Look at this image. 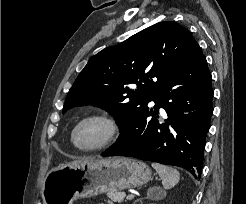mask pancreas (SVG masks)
Returning a JSON list of instances; mask_svg holds the SVG:
<instances>
[{
  "label": "pancreas",
  "instance_id": "pancreas-1",
  "mask_svg": "<svg viewBox=\"0 0 246 204\" xmlns=\"http://www.w3.org/2000/svg\"><path fill=\"white\" fill-rule=\"evenodd\" d=\"M107 197L114 202L121 203L124 200L125 193L121 191H110L107 192Z\"/></svg>",
  "mask_w": 246,
  "mask_h": 204
}]
</instances>
